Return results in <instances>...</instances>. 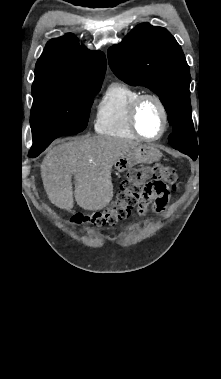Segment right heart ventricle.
<instances>
[{
    "mask_svg": "<svg viewBox=\"0 0 221 379\" xmlns=\"http://www.w3.org/2000/svg\"><path fill=\"white\" fill-rule=\"evenodd\" d=\"M141 95L137 88L122 82L112 83L104 94L97 110L94 127L106 136L137 139L129 123V109Z\"/></svg>",
    "mask_w": 221,
    "mask_h": 379,
    "instance_id": "right-heart-ventricle-1",
    "label": "right heart ventricle"
}]
</instances>
